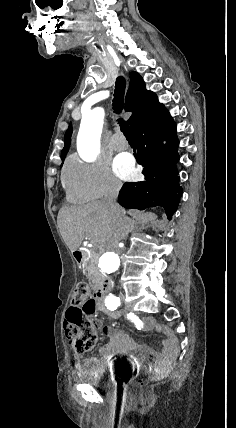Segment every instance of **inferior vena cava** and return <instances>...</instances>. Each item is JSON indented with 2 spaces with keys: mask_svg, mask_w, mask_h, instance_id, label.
Segmentation results:
<instances>
[{
  "mask_svg": "<svg viewBox=\"0 0 236 428\" xmlns=\"http://www.w3.org/2000/svg\"><path fill=\"white\" fill-rule=\"evenodd\" d=\"M120 188V184L118 180H115V178H107V198H106V206L111 210V212H114L116 216H122L123 212L116 204L117 196H118V190ZM118 223H121V220H118ZM112 250H119V254H122L124 251L123 249H112Z\"/></svg>",
  "mask_w": 236,
  "mask_h": 428,
  "instance_id": "obj_1",
  "label": "inferior vena cava"
}]
</instances>
